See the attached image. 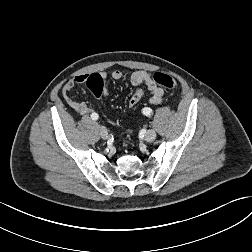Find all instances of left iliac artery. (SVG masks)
Wrapping results in <instances>:
<instances>
[{
	"label": "left iliac artery",
	"instance_id": "44dca946",
	"mask_svg": "<svg viewBox=\"0 0 252 252\" xmlns=\"http://www.w3.org/2000/svg\"><path fill=\"white\" fill-rule=\"evenodd\" d=\"M141 112H142V114H144L146 116H150L152 113V110L149 107L144 106V107H142Z\"/></svg>",
	"mask_w": 252,
	"mask_h": 252
}]
</instances>
